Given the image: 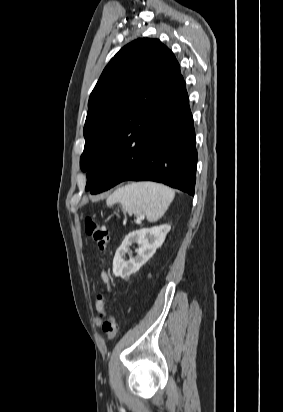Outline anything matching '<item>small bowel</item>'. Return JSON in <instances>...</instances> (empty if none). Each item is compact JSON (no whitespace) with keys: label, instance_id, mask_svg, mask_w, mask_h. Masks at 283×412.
<instances>
[{"label":"small bowel","instance_id":"obj_1","mask_svg":"<svg viewBox=\"0 0 283 412\" xmlns=\"http://www.w3.org/2000/svg\"><path fill=\"white\" fill-rule=\"evenodd\" d=\"M101 276H102V279H103L105 282H108V276H107L105 273H102ZM95 308H96V311H97L98 313L103 312V303H102V302H99V301H96V303H95ZM97 323H98L99 325L101 324L100 318L97 319Z\"/></svg>","mask_w":283,"mask_h":412}]
</instances>
